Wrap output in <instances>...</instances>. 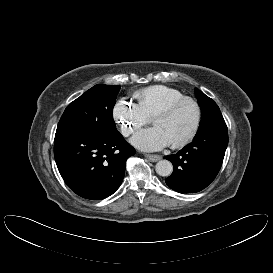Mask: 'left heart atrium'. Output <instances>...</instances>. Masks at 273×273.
Instances as JSON below:
<instances>
[{
	"instance_id": "39dd6f15",
	"label": "left heart atrium",
	"mask_w": 273,
	"mask_h": 273,
	"mask_svg": "<svg viewBox=\"0 0 273 273\" xmlns=\"http://www.w3.org/2000/svg\"><path fill=\"white\" fill-rule=\"evenodd\" d=\"M131 143L142 151H155L170 144L164 134L156 127L137 132L131 138Z\"/></svg>"
}]
</instances>
